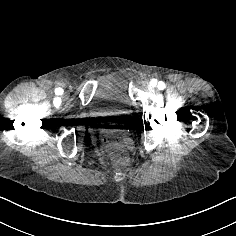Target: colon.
<instances>
[{"label": "colon", "mask_w": 236, "mask_h": 236, "mask_svg": "<svg viewBox=\"0 0 236 236\" xmlns=\"http://www.w3.org/2000/svg\"><path fill=\"white\" fill-rule=\"evenodd\" d=\"M106 149H107V152H108L110 158L114 162H116L120 165L127 164L128 160H129V156H128L125 146L121 142L107 141Z\"/></svg>", "instance_id": "obj_1"}]
</instances>
